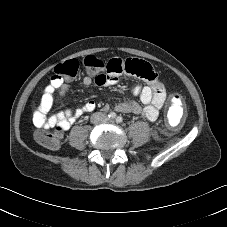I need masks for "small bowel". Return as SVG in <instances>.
Segmentation results:
<instances>
[{
    "label": "small bowel",
    "mask_w": 227,
    "mask_h": 227,
    "mask_svg": "<svg viewBox=\"0 0 227 227\" xmlns=\"http://www.w3.org/2000/svg\"><path fill=\"white\" fill-rule=\"evenodd\" d=\"M120 70L124 69V62L116 59ZM139 61V60H138ZM144 62V61H142ZM147 63V62H146ZM153 78H144L147 82L144 86H135L132 93L139 97L142 105L133 100H127L119 103L116 109L121 112H132L142 114L146 119L154 121L159 116L160 108L166 100V88L164 83L159 79L157 72L153 69ZM118 73L108 70L107 73H100L94 76H86L83 84L110 86L116 83ZM69 91V86L63 84L60 88L59 96L62 99ZM54 102V90L47 89L42 97L41 105L34 114L33 123L38 128H51L56 126L60 130H67L75 120L84 113H89L96 108L94 100L87 101L80 109L67 108L57 112L50 113ZM109 107H105L107 110Z\"/></svg>",
    "instance_id": "c3829d8e"
}]
</instances>
